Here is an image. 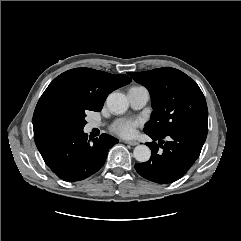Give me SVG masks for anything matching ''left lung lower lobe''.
Instances as JSON below:
<instances>
[{
    "mask_svg": "<svg viewBox=\"0 0 241 241\" xmlns=\"http://www.w3.org/2000/svg\"><path fill=\"white\" fill-rule=\"evenodd\" d=\"M207 131V127H192L164 136L147 134L159 142L147 143L151 149V158L147 162L135 164L136 171L145 179L159 184L177 181L199 157ZM164 138L168 141L164 142Z\"/></svg>",
    "mask_w": 241,
    "mask_h": 241,
    "instance_id": "1",
    "label": "left lung lower lobe"
}]
</instances>
